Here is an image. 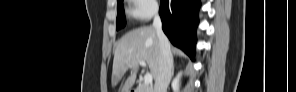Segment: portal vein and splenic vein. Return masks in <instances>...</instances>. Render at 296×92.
<instances>
[{
	"instance_id": "18ae733b",
	"label": "portal vein and splenic vein",
	"mask_w": 296,
	"mask_h": 92,
	"mask_svg": "<svg viewBox=\"0 0 296 92\" xmlns=\"http://www.w3.org/2000/svg\"><path fill=\"white\" fill-rule=\"evenodd\" d=\"M139 65H141L142 67H146L147 64L145 61H139ZM150 83H152V74L146 73L144 78V84L149 85Z\"/></svg>"
}]
</instances>
